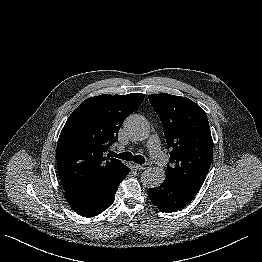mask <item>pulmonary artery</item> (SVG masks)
<instances>
[{"mask_svg":"<svg viewBox=\"0 0 262 262\" xmlns=\"http://www.w3.org/2000/svg\"><path fill=\"white\" fill-rule=\"evenodd\" d=\"M148 148L151 155V158L157 163L160 164V158L162 157V152L160 149L159 138L157 135H152L148 141Z\"/></svg>","mask_w":262,"mask_h":262,"instance_id":"1","label":"pulmonary artery"}]
</instances>
